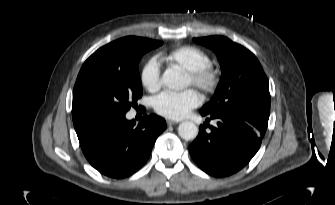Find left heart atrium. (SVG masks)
<instances>
[{
    "instance_id": "39dd6f15",
    "label": "left heart atrium",
    "mask_w": 335,
    "mask_h": 205,
    "mask_svg": "<svg viewBox=\"0 0 335 205\" xmlns=\"http://www.w3.org/2000/svg\"><path fill=\"white\" fill-rule=\"evenodd\" d=\"M201 103L200 95L192 89L182 92L164 91L154 98L155 111L167 118L181 119Z\"/></svg>"
}]
</instances>
